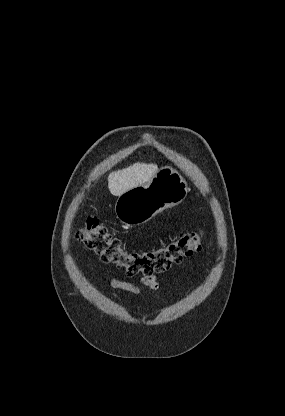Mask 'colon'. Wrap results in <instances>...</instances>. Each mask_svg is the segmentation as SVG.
I'll return each instance as SVG.
<instances>
[{
	"instance_id": "colon-1",
	"label": "colon",
	"mask_w": 285,
	"mask_h": 416,
	"mask_svg": "<svg viewBox=\"0 0 285 416\" xmlns=\"http://www.w3.org/2000/svg\"><path fill=\"white\" fill-rule=\"evenodd\" d=\"M77 236L103 262L123 268L129 276H152L166 271L202 249L201 235L192 232L182 234L168 244L152 250H126L96 218H89Z\"/></svg>"
}]
</instances>
